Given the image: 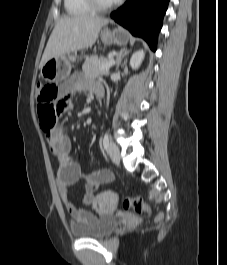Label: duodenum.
<instances>
[{
  "mask_svg": "<svg viewBox=\"0 0 227 265\" xmlns=\"http://www.w3.org/2000/svg\"><path fill=\"white\" fill-rule=\"evenodd\" d=\"M97 94L99 97H103L104 92H103V90H100Z\"/></svg>",
  "mask_w": 227,
  "mask_h": 265,
  "instance_id": "duodenum-1",
  "label": "duodenum"
}]
</instances>
